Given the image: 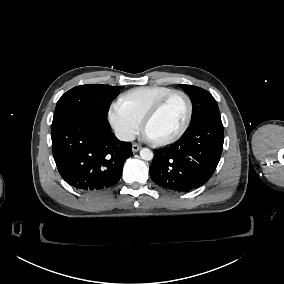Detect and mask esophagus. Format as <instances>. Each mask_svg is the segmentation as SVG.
I'll return each instance as SVG.
<instances>
[{"label":"esophagus","mask_w":284,"mask_h":284,"mask_svg":"<svg viewBox=\"0 0 284 284\" xmlns=\"http://www.w3.org/2000/svg\"><path fill=\"white\" fill-rule=\"evenodd\" d=\"M140 149H141V146H140V145H138V144H136V143H134V144L132 145V151H133V153L138 152Z\"/></svg>","instance_id":"1"}]
</instances>
